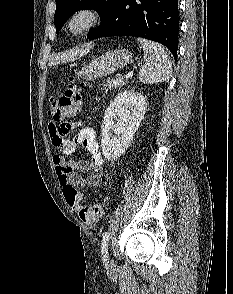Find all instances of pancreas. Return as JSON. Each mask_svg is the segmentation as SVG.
I'll use <instances>...</instances> for the list:
<instances>
[{
	"instance_id": "1",
	"label": "pancreas",
	"mask_w": 233,
	"mask_h": 294,
	"mask_svg": "<svg viewBox=\"0 0 233 294\" xmlns=\"http://www.w3.org/2000/svg\"><path fill=\"white\" fill-rule=\"evenodd\" d=\"M125 85H126V81L121 78L107 79V81L103 83V87L105 91H111L116 88H121Z\"/></svg>"
}]
</instances>
